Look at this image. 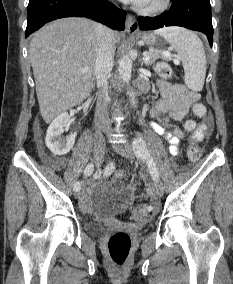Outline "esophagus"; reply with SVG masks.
Listing matches in <instances>:
<instances>
[{
	"label": "esophagus",
	"mask_w": 233,
	"mask_h": 284,
	"mask_svg": "<svg viewBox=\"0 0 233 284\" xmlns=\"http://www.w3.org/2000/svg\"><path fill=\"white\" fill-rule=\"evenodd\" d=\"M126 31L129 34H134L139 31V24L134 16L127 14L126 17Z\"/></svg>",
	"instance_id": "obj_1"
}]
</instances>
